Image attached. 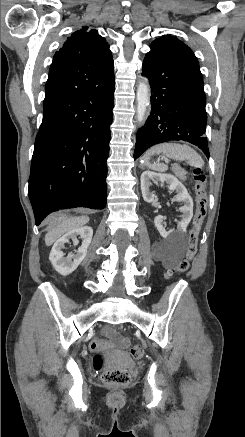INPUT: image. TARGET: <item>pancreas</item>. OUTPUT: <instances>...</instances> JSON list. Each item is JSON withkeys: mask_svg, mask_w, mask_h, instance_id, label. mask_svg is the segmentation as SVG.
Segmentation results:
<instances>
[{"mask_svg": "<svg viewBox=\"0 0 245 437\" xmlns=\"http://www.w3.org/2000/svg\"><path fill=\"white\" fill-rule=\"evenodd\" d=\"M174 174L179 177L180 180L185 181L186 180V174L187 172L179 167H176L173 169Z\"/></svg>", "mask_w": 245, "mask_h": 437, "instance_id": "obj_1", "label": "pancreas"}]
</instances>
